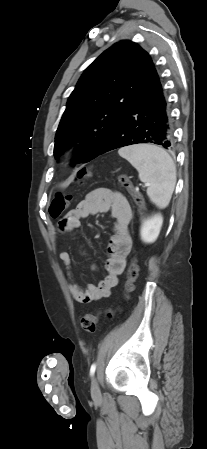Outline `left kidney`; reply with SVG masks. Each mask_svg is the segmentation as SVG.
Here are the masks:
<instances>
[{"label":"left kidney","instance_id":"left-kidney-1","mask_svg":"<svg viewBox=\"0 0 207 449\" xmlns=\"http://www.w3.org/2000/svg\"><path fill=\"white\" fill-rule=\"evenodd\" d=\"M163 224V217L161 214H155L143 221L140 236L143 242L153 243L159 236Z\"/></svg>","mask_w":207,"mask_h":449}]
</instances>
